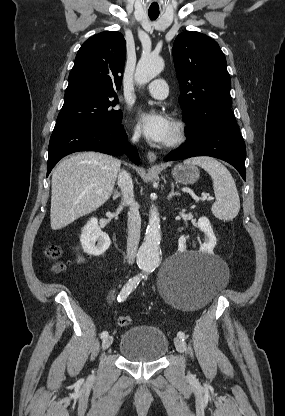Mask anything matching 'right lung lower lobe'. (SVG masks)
Here are the masks:
<instances>
[{
  "mask_svg": "<svg viewBox=\"0 0 285 416\" xmlns=\"http://www.w3.org/2000/svg\"><path fill=\"white\" fill-rule=\"evenodd\" d=\"M78 151H98L115 156L125 152L135 164L140 163L136 148L127 144L122 125H62L55 126L50 138L47 176L61 158Z\"/></svg>",
  "mask_w": 285,
  "mask_h": 416,
  "instance_id": "right-lung-lower-lobe-1",
  "label": "right lung lower lobe"
}]
</instances>
